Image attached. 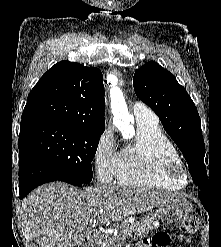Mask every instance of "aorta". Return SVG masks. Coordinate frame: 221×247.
Here are the masks:
<instances>
[{"label":"aorta","instance_id":"obj_1","mask_svg":"<svg viewBox=\"0 0 221 247\" xmlns=\"http://www.w3.org/2000/svg\"><path fill=\"white\" fill-rule=\"evenodd\" d=\"M107 81L110 83V101L114 122L123 133H129L133 135V118L128 112L122 90L117 86L118 78L116 76L110 75L108 76Z\"/></svg>","mask_w":221,"mask_h":247}]
</instances>
